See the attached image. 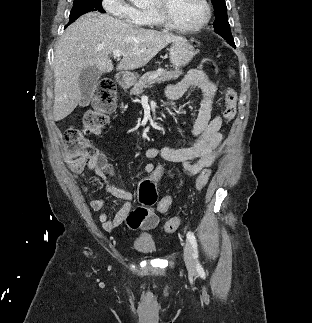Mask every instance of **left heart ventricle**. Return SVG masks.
I'll return each mask as SVG.
<instances>
[{
	"label": "left heart ventricle",
	"instance_id": "obj_1",
	"mask_svg": "<svg viewBox=\"0 0 312 323\" xmlns=\"http://www.w3.org/2000/svg\"><path fill=\"white\" fill-rule=\"evenodd\" d=\"M164 14H170L174 22H194L195 18H206L207 7L202 0H166Z\"/></svg>",
	"mask_w": 312,
	"mask_h": 323
}]
</instances>
